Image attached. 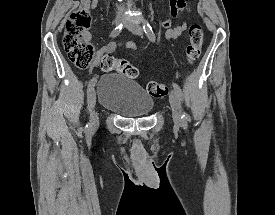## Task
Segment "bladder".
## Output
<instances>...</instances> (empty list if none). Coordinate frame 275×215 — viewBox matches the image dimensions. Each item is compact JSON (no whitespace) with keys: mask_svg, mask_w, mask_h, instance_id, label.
<instances>
[{"mask_svg":"<svg viewBox=\"0 0 275 215\" xmlns=\"http://www.w3.org/2000/svg\"><path fill=\"white\" fill-rule=\"evenodd\" d=\"M96 99L104 108L124 117H145L154 108L150 95L120 74L104 73L97 78Z\"/></svg>","mask_w":275,"mask_h":215,"instance_id":"obj_1","label":"bladder"}]
</instances>
